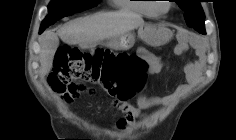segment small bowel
Wrapping results in <instances>:
<instances>
[{"instance_id": "small-bowel-1", "label": "small bowel", "mask_w": 236, "mask_h": 140, "mask_svg": "<svg viewBox=\"0 0 236 140\" xmlns=\"http://www.w3.org/2000/svg\"><path fill=\"white\" fill-rule=\"evenodd\" d=\"M187 48L186 42L183 38L180 39L175 51L177 54H182ZM140 57L147 63L148 72L152 74L160 73L165 66V61L154 54L142 50ZM184 83L178 85L176 89L164 96H147L141 95L137 99L136 105H131L126 101L113 103L111 109L122 114V117L118 119L116 126L120 130H125L131 127L137 119H147V114L144 110L154 106L163 105L168 106L172 104L176 99L182 96L191 85L196 84L200 79L199 63L189 62L183 68ZM70 102L71 99H66Z\"/></svg>"}]
</instances>
